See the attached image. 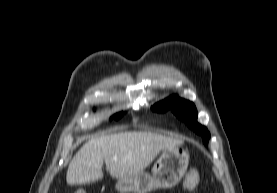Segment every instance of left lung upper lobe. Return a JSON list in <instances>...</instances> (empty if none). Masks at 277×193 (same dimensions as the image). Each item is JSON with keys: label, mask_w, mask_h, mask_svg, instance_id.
I'll return each instance as SVG.
<instances>
[{"label": "left lung upper lobe", "mask_w": 277, "mask_h": 193, "mask_svg": "<svg viewBox=\"0 0 277 193\" xmlns=\"http://www.w3.org/2000/svg\"><path fill=\"white\" fill-rule=\"evenodd\" d=\"M152 109L159 112L171 109L178 118L185 121V123L197 134H200L202 136L203 142L207 144L210 138V133L206 127L200 125L197 122L198 113L195 105L192 102L181 99L177 96H172L155 104Z\"/></svg>", "instance_id": "1"}]
</instances>
